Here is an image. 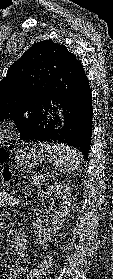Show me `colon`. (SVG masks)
Here are the masks:
<instances>
[{"instance_id": "colon-1", "label": "colon", "mask_w": 113, "mask_h": 279, "mask_svg": "<svg viewBox=\"0 0 113 279\" xmlns=\"http://www.w3.org/2000/svg\"><path fill=\"white\" fill-rule=\"evenodd\" d=\"M9 158V151L6 148L0 147V165L5 163ZM11 180V173L8 168L4 169L3 172V181L9 182Z\"/></svg>"}]
</instances>
